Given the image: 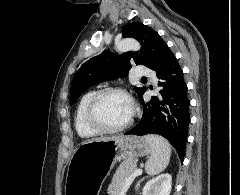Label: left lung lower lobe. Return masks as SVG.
<instances>
[{"instance_id": "0a47b994", "label": "left lung lower lobe", "mask_w": 240, "mask_h": 195, "mask_svg": "<svg viewBox=\"0 0 240 195\" xmlns=\"http://www.w3.org/2000/svg\"><path fill=\"white\" fill-rule=\"evenodd\" d=\"M160 95L143 101V116L140 122L125 134H159L175 147L183 161L190 123V100L183 71L172 53L156 72Z\"/></svg>"}]
</instances>
